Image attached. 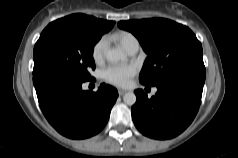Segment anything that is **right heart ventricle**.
Here are the masks:
<instances>
[{
    "label": "right heart ventricle",
    "mask_w": 238,
    "mask_h": 158,
    "mask_svg": "<svg viewBox=\"0 0 238 158\" xmlns=\"http://www.w3.org/2000/svg\"><path fill=\"white\" fill-rule=\"evenodd\" d=\"M116 38L126 50L133 42L137 41L136 37L129 32H121L116 35Z\"/></svg>",
    "instance_id": "1"
}]
</instances>
